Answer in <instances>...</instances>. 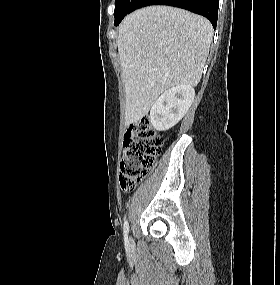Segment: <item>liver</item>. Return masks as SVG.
<instances>
[{
	"mask_svg": "<svg viewBox=\"0 0 280 285\" xmlns=\"http://www.w3.org/2000/svg\"><path fill=\"white\" fill-rule=\"evenodd\" d=\"M212 37L206 18L183 9L150 6L124 18L117 46L126 125L147 115L167 89L200 82Z\"/></svg>",
	"mask_w": 280,
	"mask_h": 285,
	"instance_id": "obj_1",
	"label": "liver"
}]
</instances>
